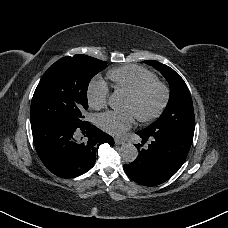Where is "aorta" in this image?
<instances>
[{
    "label": "aorta",
    "instance_id": "obj_1",
    "mask_svg": "<svg viewBox=\"0 0 228 228\" xmlns=\"http://www.w3.org/2000/svg\"><path fill=\"white\" fill-rule=\"evenodd\" d=\"M108 105L115 110L122 109L125 105V98L121 93L114 92L108 98ZM137 155L138 150L131 143L123 144L120 148V156L127 163L133 162L137 158Z\"/></svg>",
    "mask_w": 228,
    "mask_h": 228
}]
</instances>
